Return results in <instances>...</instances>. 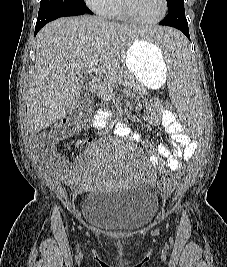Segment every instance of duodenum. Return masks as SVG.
<instances>
[{
	"instance_id": "obj_1",
	"label": "duodenum",
	"mask_w": 227,
	"mask_h": 267,
	"mask_svg": "<svg viewBox=\"0 0 227 267\" xmlns=\"http://www.w3.org/2000/svg\"><path fill=\"white\" fill-rule=\"evenodd\" d=\"M98 78H94L89 84V91L95 93L97 91Z\"/></svg>"
}]
</instances>
